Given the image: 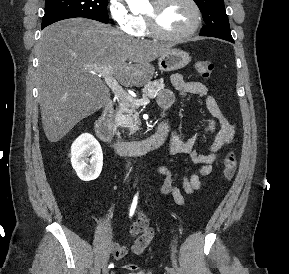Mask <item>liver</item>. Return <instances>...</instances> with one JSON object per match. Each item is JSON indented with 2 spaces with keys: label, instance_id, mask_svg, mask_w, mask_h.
I'll return each mask as SVG.
<instances>
[{
  "label": "liver",
  "instance_id": "1",
  "mask_svg": "<svg viewBox=\"0 0 289 274\" xmlns=\"http://www.w3.org/2000/svg\"><path fill=\"white\" fill-rule=\"evenodd\" d=\"M170 49L85 18L46 27L36 51L39 103L47 139L58 142L107 102L109 89L94 67L111 66L112 75L122 85L142 86L153 76L151 62Z\"/></svg>",
  "mask_w": 289,
  "mask_h": 274
}]
</instances>
